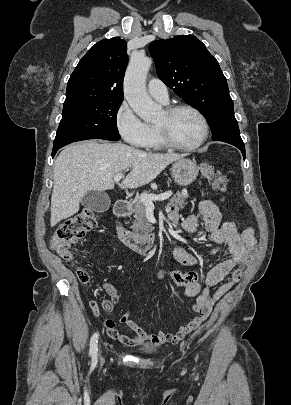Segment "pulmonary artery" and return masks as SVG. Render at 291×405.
<instances>
[{
  "mask_svg": "<svg viewBox=\"0 0 291 405\" xmlns=\"http://www.w3.org/2000/svg\"><path fill=\"white\" fill-rule=\"evenodd\" d=\"M149 94L156 100L167 103L168 102V90L166 85L158 78H152L149 80L148 85Z\"/></svg>",
  "mask_w": 291,
  "mask_h": 405,
  "instance_id": "obj_1",
  "label": "pulmonary artery"
}]
</instances>
